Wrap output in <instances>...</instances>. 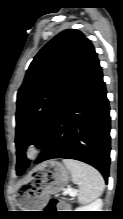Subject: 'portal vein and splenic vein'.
Returning a JSON list of instances; mask_svg holds the SVG:
<instances>
[{"label":"portal vein and splenic vein","mask_w":123,"mask_h":219,"mask_svg":"<svg viewBox=\"0 0 123 219\" xmlns=\"http://www.w3.org/2000/svg\"><path fill=\"white\" fill-rule=\"evenodd\" d=\"M64 194H70L71 196H76L77 195V191L73 190L71 188H68V189L64 190Z\"/></svg>","instance_id":"18ae733b"}]
</instances>
